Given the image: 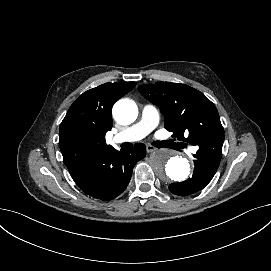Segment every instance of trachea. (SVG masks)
<instances>
[{
	"instance_id": "3493384b",
	"label": "trachea",
	"mask_w": 271,
	"mask_h": 271,
	"mask_svg": "<svg viewBox=\"0 0 271 271\" xmlns=\"http://www.w3.org/2000/svg\"><path fill=\"white\" fill-rule=\"evenodd\" d=\"M153 145V144H152ZM156 147H158V148H160V147H163V143L162 142H156L155 144H154ZM153 145V146H154Z\"/></svg>"
}]
</instances>
